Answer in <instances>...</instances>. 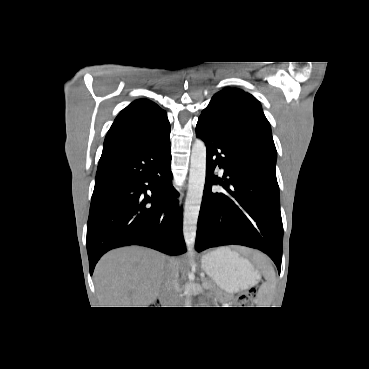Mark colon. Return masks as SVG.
<instances>
[{
    "instance_id": "1",
    "label": "colon",
    "mask_w": 369,
    "mask_h": 369,
    "mask_svg": "<svg viewBox=\"0 0 369 369\" xmlns=\"http://www.w3.org/2000/svg\"><path fill=\"white\" fill-rule=\"evenodd\" d=\"M254 299H255V291L250 290L247 293L242 294L238 298V302H239L240 306H242V307H249L253 304Z\"/></svg>"
}]
</instances>
